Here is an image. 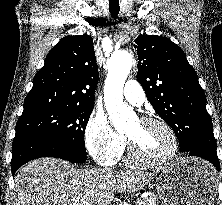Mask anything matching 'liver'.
Instances as JSON below:
<instances>
[{
    "label": "liver",
    "instance_id": "1",
    "mask_svg": "<svg viewBox=\"0 0 222 205\" xmlns=\"http://www.w3.org/2000/svg\"><path fill=\"white\" fill-rule=\"evenodd\" d=\"M154 176L132 170L78 169L62 159L39 158L15 176L14 205H109L114 194L142 188Z\"/></svg>",
    "mask_w": 222,
    "mask_h": 205
}]
</instances>
